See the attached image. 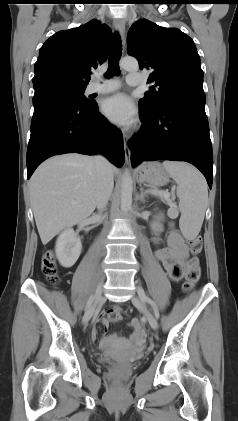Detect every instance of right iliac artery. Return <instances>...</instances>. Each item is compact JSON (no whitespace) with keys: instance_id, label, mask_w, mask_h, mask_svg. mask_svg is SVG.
<instances>
[{"instance_id":"right-iliac-artery-1","label":"right iliac artery","mask_w":238,"mask_h":421,"mask_svg":"<svg viewBox=\"0 0 238 421\" xmlns=\"http://www.w3.org/2000/svg\"><path fill=\"white\" fill-rule=\"evenodd\" d=\"M93 300H94V296L92 295V296L89 298V300H88V302H87V304H86V309H88V308L90 307V305L92 304Z\"/></svg>"}]
</instances>
